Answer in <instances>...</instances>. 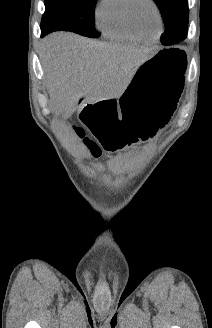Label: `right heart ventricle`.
<instances>
[{"label": "right heart ventricle", "mask_w": 212, "mask_h": 328, "mask_svg": "<svg viewBox=\"0 0 212 328\" xmlns=\"http://www.w3.org/2000/svg\"><path fill=\"white\" fill-rule=\"evenodd\" d=\"M129 0H101L96 10V25L107 38L124 43H150L155 35L143 37L132 28L127 9Z\"/></svg>", "instance_id": "right-heart-ventricle-1"}]
</instances>
